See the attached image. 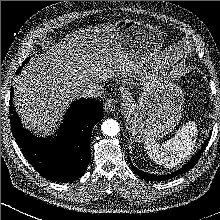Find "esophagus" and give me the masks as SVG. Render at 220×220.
<instances>
[{"instance_id":"esophagus-1","label":"esophagus","mask_w":220,"mask_h":220,"mask_svg":"<svg viewBox=\"0 0 220 220\" xmlns=\"http://www.w3.org/2000/svg\"><path fill=\"white\" fill-rule=\"evenodd\" d=\"M104 110L107 114H112L115 111V101L113 99H107L104 104Z\"/></svg>"}]
</instances>
